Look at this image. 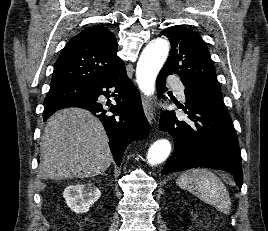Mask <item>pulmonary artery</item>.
Returning <instances> with one entry per match:
<instances>
[{"instance_id":"1","label":"pulmonary artery","mask_w":268,"mask_h":231,"mask_svg":"<svg viewBox=\"0 0 268 231\" xmlns=\"http://www.w3.org/2000/svg\"><path fill=\"white\" fill-rule=\"evenodd\" d=\"M171 86L175 92V94L181 99L185 100V88L181 83H171Z\"/></svg>"}]
</instances>
